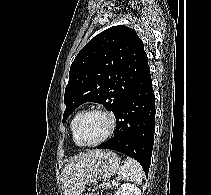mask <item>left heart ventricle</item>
<instances>
[{
    "mask_svg": "<svg viewBox=\"0 0 211 195\" xmlns=\"http://www.w3.org/2000/svg\"><path fill=\"white\" fill-rule=\"evenodd\" d=\"M109 128L108 118L101 113H90L86 115L79 128L81 141L93 143L102 138Z\"/></svg>",
    "mask_w": 211,
    "mask_h": 195,
    "instance_id": "1",
    "label": "left heart ventricle"
}]
</instances>
